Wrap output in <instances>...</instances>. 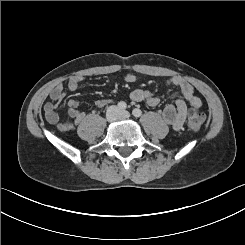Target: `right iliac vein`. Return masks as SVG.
<instances>
[{
    "mask_svg": "<svg viewBox=\"0 0 245 245\" xmlns=\"http://www.w3.org/2000/svg\"><path fill=\"white\" fill-rule=\"evenodd\" d=\"M119 114H120V112H119L118 108L116 106H112L109 109L108 114H107L108 121L113 122V121L117 120L119 118Z\"/></svg>",
    "mask_w": 245,
    "mask_h": 245,
    "instance_id": "right-iliac-vein-1",
    "label": "right iliac vein"
}]
</instances>
